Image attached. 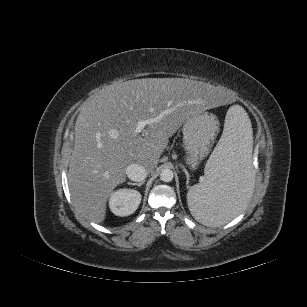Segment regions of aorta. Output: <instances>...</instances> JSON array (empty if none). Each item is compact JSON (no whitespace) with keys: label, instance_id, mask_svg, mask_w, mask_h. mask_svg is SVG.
<instances>
[{"label":"aorta","instance_id":"obj_1","mask_svg":"<svg viewBox=\"0 0 307 307\" xmlns=\"http://www.w3.org/2000/svg\"><path fill=\"white\" fill-rule=\"evenodd\" d=\"M174 174L171 169H163L160 174V179L163 182H171L173 180Z\"/></svg>","mask_w":307,"mask_h":307}]
</instances>
